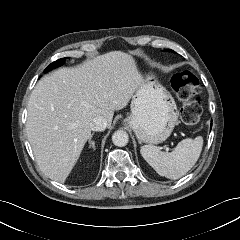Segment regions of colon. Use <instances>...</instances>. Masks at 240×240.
Masks as SVG:
<instances>
[{"instance_id": "5ec220e1", "label": "colon", "mask_w": 240, "mask_h": 240, "mask_svg": "<svg viewBox=\"0 0 240 240\" xmlns=\"http://www.w3.org/2000/svg\"><path fill=\"white\" fill-rule=\"evenodd\" d=\"M171 85L182 103L181 120L187 126L196 129L199 126L202 107L199 100L201 85L195 75L189 71L175 73Z\"/></svg>"}]
</instances>
